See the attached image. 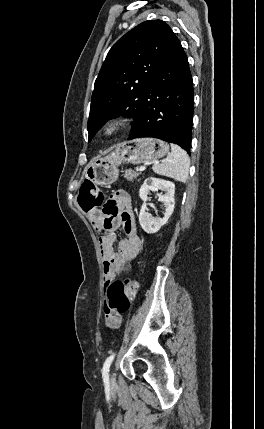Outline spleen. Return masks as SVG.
Listing matches in <instances>:
<instances>
[{
    "instance_id": "obj_1",
    "label": "spleen",
    "mask_w": 264,
    "mask_h": 429,
    "mask_svg": "<svg viewBox=\"0 0 264 429\" xmlns=\"http://www.w3.org/2000/svg\"><path fill=\"white\" fill-rule=\"evenodd\" d=\"M190 160L180 146L171 143V153L162 163H156L152 169L155 173L186 183L189 175Z\"/></svg>"
}]
</instances>
